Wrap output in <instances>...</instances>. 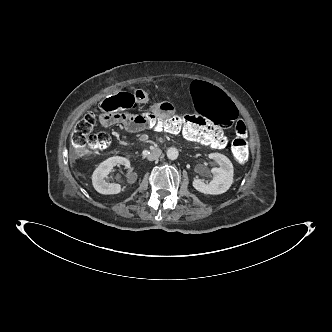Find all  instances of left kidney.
Here are the masks:
<instances>
[{"mask_svg": "<svg viewBox=\"0 0 332 332\" xmlns=\"http://www.w3.org/2000/svg\"><path fill=\"white\" fill-rule=\"evenodd\" d=\"M209 159L214 160L219 167L211 169L213 179L209 183H205L201 179L193 180V187L204 194L219 195L225 193L233 183V165L231 161L220 153H211Z\"/></svg>", "mask_w": 332, "mask_h": 332, "instance_id": "obj_1", "label": "left kidney"}]
</instances>
